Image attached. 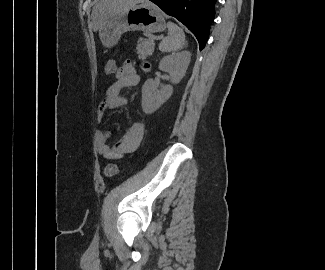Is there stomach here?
Here are the masks:
<instances>
[{
	"instance_id": "1",
	"label": "stomach",
	"mask_w": 325,
	"mask_h": 270,
	"mask_svg": "<svg viewBox=\"0 0 325 270\" xmlns=\"http://www.w3.org/2000/svg\"><path fill=\"white\" fill-rule=\"evenodd\" d=\"M165 29V20L160 10L151 3H142L108 16L99 29V37L105 47H113L127 31L156 33Z\"/></svg>"
}]
</instances>
